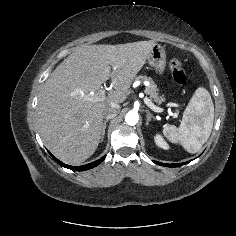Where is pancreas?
<instances>
[{
  "label": "pancreas",
  "mask_w": 236,
  "mask_h": 236,
  "mask_svg": "<svg viewBox=\"0 0 236 236\" xmlns=\"http://www.w3.org/2000/svg\"><path fill=\"white\" fill-rule=\"evenodd\" d=\"M138 80L149 81V86L146 87L145 93L156 103L161 104L165 99L162 96H159L157 86L150 77L140 76Z\"/></svg>",
  "instance_id": "obj_1"
}]
</instances>
